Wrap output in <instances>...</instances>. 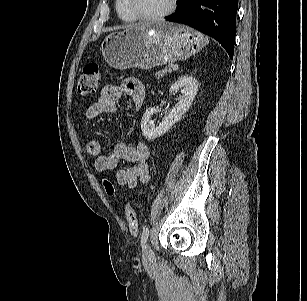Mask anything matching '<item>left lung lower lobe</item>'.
Here are the masks:
<instances>
[{"label": "left lung lower lobe", "mask_w": 307, "mask_h": 301, "mask_svg": "<svg viewBox=\"0 0 307 301\" xmlns=\"http://www.w3.org/2000/svg\"><path fill=\"white\" fill-rule=\"evenodd\" d=\"M167 21L189 25L216 39L233 58L238 0H178Z\"/></svg>", "instance_id": "1"}]
</instances>
